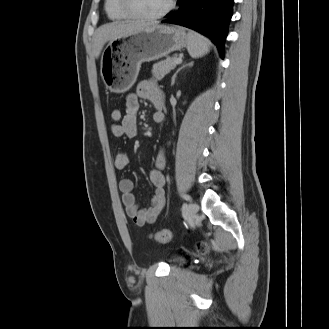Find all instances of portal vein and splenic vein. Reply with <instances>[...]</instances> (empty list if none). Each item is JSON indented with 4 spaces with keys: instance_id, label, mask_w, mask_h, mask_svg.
Returning <instances> with one entry per match:
<instances>
[{
    "instance_id": "18ae733b",
    "label": "portal vein and splenic vein",
    "mask_w": 329,
    "mask_h": 329,
    "mask_svg": "<svg viewBox=\"0 0 329 329\" xmlns=\"http://www.w3.org/2000/svg\"><path fill=\"white\" fill-rule=\"evenodd\" d=\"M181 62H182V58L181 57H179V58H177L175 60V64H180Z\"/></svg>"
}]
</instances>
